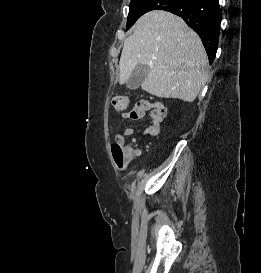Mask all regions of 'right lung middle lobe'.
<instances>
[{"mask_svg": "<svg viewBox=\"0 0 261 273\" xmlns=\"http://www.w3.org/2000/svg\"><path fill=\"white\" fill-rule=\"evenodd\" d=\"M163 1L164 0H131L127 18V29H129L137 21V19L146 12L161 9L162 7L159 5Z\"/></svg>", "mask_w": 261, "mask_h": 273, "instance_id": "1", "label": "right lung middle lobe"}]
</instances>
